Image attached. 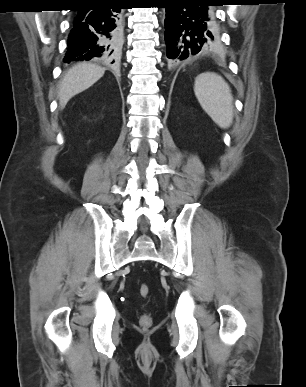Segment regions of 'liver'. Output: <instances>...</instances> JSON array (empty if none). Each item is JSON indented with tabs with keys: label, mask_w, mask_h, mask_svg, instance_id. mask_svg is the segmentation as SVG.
I'll list each match as a JSON object with an SVG mask.
<instances>
[{
	"label": "liver",
	"mask_w": 306,
	"mask_h": 387,
	"mask_svg": "<svg viewBox=\"0 0 306 387\" xmlns=\"http://www.w3.org/2000/svg\"><path fill=\"white\" fill-rule=\"evenodd\" d=\"M105 73V68L89 63H80L67 71L59 86V104L64 108L75 95L87 90Z\"/></svg>",
	"instance_id": "obj_1"
}]
</instances>
